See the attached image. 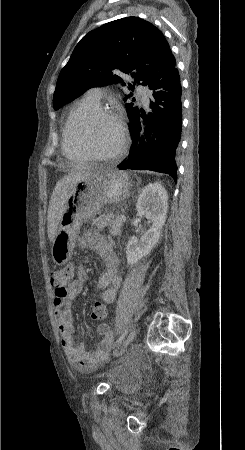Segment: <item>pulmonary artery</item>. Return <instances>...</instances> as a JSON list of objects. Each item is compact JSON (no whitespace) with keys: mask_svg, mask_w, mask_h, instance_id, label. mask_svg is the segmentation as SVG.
<instances>
[{"mask_svg":"<svg viewBox=\"0 0 245 450\" xmlns=\"http://www.w3.org/2000/svg\"><path fill=\"white\" fill-rule=\"evenodd\" d=\"M105 91L99 87H95L90 89L86 95L93 101L99 103L101 100V97L104 95ZM140 95L143 98V101L147 104L148 103V93L145 91H140Z\"/></svg>","mask_w":245,"mask_h":450,"instance_id":"pulmonary-artery-1","label":"pulmonary artery"}]
</instances>
